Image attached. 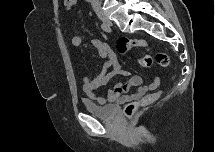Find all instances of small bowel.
Here are the masks:
<instances>
[{
  "label": "small bowel",
  "mask_w": 215,
  "mask_h": 152,
  "mask_svg": "<svg viewBox=\"0 0 215 152\" xmlns=\"http://www.w3.org/2000/svg\"><path fill=\"white\" fill-rule=\"evenodd\" d=\"M85 42H90L95 48L98 55L105 61L104 70L95 78L90 79L84 76L83 90L84 92L95 99L99 103L107 102H122L126 100H134L142 97L147 92L155 90L160 85L159 78H155L150 84L144 85L142 78L138 75H131L129 72L123 71L120 68L117 57L106 42L99 39H88L85 36L76 35L71 39V45L74 48H79ZM115 76H130V79L125 82L116 83L112 89H109L105 95H99L98 89L108 83V81ZM135 89L133 92L128 93L130 89Z\"/></svg>",
  "instance_id": "c3829d8e"
}]
</instances>
